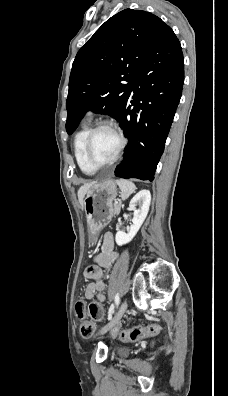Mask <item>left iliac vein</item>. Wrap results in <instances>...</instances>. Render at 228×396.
<instances>
[{
  "label": "left iliac vein",
  "instance_id": "left-iliac-vein-1",
  "mask_svg": "<svg viewBox=\"0 0 228 396\" xmlns=\"http://www.w3.org/2000/svg\"><path fill=\"white\" fill-rule=\"evenodd\" d=\"M127 307H128L127 301L124 300L121 303L119 310L115 314L114 318L100 330L99 335H103V334L107 333L109 330H111L112 328H114L120 322L122 316L124 315V313L127 310Z\"/></svg>",
  "mask_w": 228,
  "mask_h": 396
}]
</instances>
